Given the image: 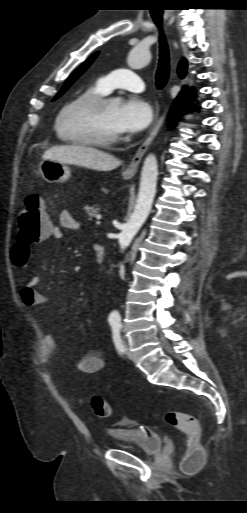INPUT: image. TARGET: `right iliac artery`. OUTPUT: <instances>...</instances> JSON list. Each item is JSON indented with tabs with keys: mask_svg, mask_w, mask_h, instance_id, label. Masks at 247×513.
I'll list each match as a JSON object with an SVG mask.
<instances>
[{
	"mask_svg": "<svg viewBox=\"0 0 247 513\" xmlns=\"http://www.w3.org/2000/svg\"><path fill=\"white\" fill-rule=\"evenodd\" d=\"M115 323H117L116 320H111V324H115Z\"/></svg>",
	"mask_w": 247,
	"mask_h": 513,
	"instance_id": "right-iliac-artery-1",
	"label": "right iliac artery"
}]
</instances>
